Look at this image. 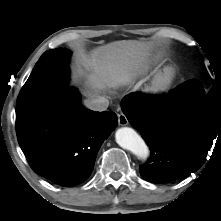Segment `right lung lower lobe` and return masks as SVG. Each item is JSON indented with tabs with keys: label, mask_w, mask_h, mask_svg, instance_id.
I'll return each mask as SVG.
<instances>
[{
	"label": "right lung lower lobe",
	"mask_w": 221,
	"mask_h": 221,
	"mask_svg": "<svg viewBox=\"0 0 221 221\" xmlns=\"http://www.w3.org/2000/svg\"><path fill=\"white\" fill-rule=\"evenodd\" d=\"M29 77L22 90L44 83ZM68 85L52 92L50 102L30 122L16 127L17 138L31 168L60 186L84 182L92 173L98 151L117 126V115L95 112L81 104Z\"/></svg>",
	"instance_id": "obj_1"
}]
</instances>
